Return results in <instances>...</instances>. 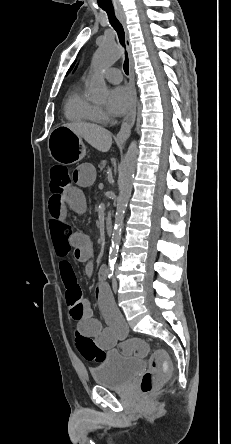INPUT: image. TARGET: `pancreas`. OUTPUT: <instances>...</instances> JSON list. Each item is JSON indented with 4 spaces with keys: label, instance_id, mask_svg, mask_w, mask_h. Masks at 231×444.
<instances>
[{
    "label": "pancreas",
    "instance_id": "1",
    "mask_svg": "<svg viewBox=\"0 0 231 444\" xmlns=\"http://www.w3.org/2000/svg\"><path fill=\"white\" fill-rule=\"evenodd\" d=\"M98 167H99L101 173H105L106 172V168L108 167L107 161L106 160L101 161L99 163Z\"/></svg>",
    "mask_w": 231,
    "mask_h": 444
}]
</instances>
